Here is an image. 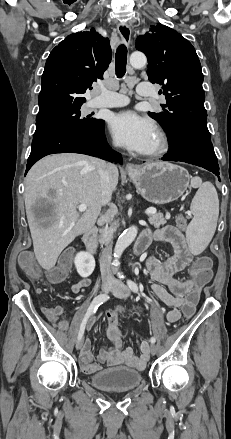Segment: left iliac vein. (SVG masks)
Masks as SVG:
<instances>
[{
    "label": "left iliac vein",
    "mask_w": 231,
    "mask_h": 439,
    "mask_svg": "<svg viewBox=\"0 0 231 439\" xmlns=\"http://www.w3.org/2000/svg\"><path fill=\"white\" fill-rule=\"evenodd\" d=\"M113 294L121 299H126L130 295L129 288L124 285L122 282H118L116 286L113 289ZM150 352L152 355H155L157 352V348L154 344H151L150 346Z\"/></svg>",
    "instance_id": "obj_1"
}]
</instances>
